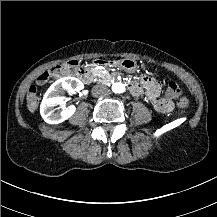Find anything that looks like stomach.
Returning <instances> with one entry per match:
<instances>
[{
	"label": "stomach",
	"instance_id": "0dacf381",
	"mask_svg": "<svg viewBox=\"0 0 217 217\" xmlns=\"http://www.w3.org/2000/svg\"><path fill=\"white\" fill-rule=\"evenodd\" d=\"M119 68L122 70L128 72V73H133L136 71L137 68V62L133 59H122L118 62Z\"/></svg>",
	"mask_w": 217,
	"mask_h": 217
}]
</instances>
